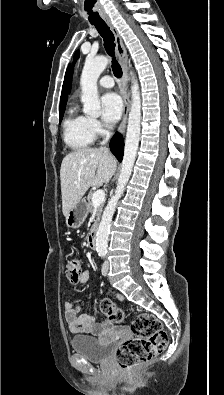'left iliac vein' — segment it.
Here are the masks:
<instances>
[{
  "label": "left iliac vein",
  "instance_id": "obj_1",
  "mask_svg": "<svg viewBox=\"0 0 224 395\" xmlns=\"http://www.w3.org/2000/svg\"><path fill=\"white\" fill-rule=\"evenodd\" d=\"M109 272V262L107 260L104 261L102 265V274L106 276Z\"/></svg>",
  "mask_w": 224,
  "mask_h": 395
}]
</instances>
